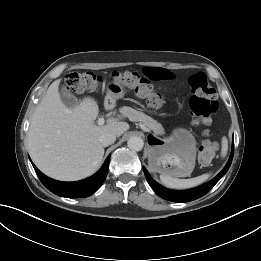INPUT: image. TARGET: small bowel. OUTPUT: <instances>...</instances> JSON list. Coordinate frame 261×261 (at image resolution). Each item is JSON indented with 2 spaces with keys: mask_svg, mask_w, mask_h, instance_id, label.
I'll return each mask as SVG.
<instances>
[{
  "mask_svg": "<svg viewBox=\"0 0 261 261\" xmlns=\"http://www.w3.org/2000/svg\"><path fill=\"white\" fill-rule=\"evenodd\" d=\"M144 74L154 80H170L173 78V73L170 70L159 67L146 68Z\"/></svg>",
  "mask_w": 261,
  "mask_h": 261,
  "instance_id": "c3829d8e",
  "label": "small bowel"
}]
</instances>
